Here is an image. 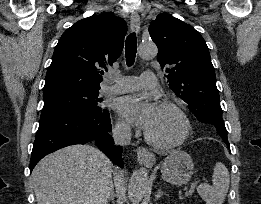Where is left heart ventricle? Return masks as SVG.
I'll list each match as a JSON object with an SVG mask.
<instances>
[{
    "label": "left heart ventricle",
    "instance_id": "obj_1",
    "mask_svg": "<svg viewBox=\"0 0 261 204\" xmlns=\"http://www.w3.org/2000/svg\"><path fill=\"white\" fill-rule=\"evenodd\" d=\"M146 132L156 141L172 142L183 132V123L172 109L155 107Z\"/></svg>",
    "mask_w": 261,
    "mask_h": 204
}]
</instances>
